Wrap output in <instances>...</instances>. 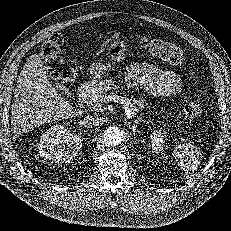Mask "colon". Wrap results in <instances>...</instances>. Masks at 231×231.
Wrapping results in <instances>:
<instances>
[{"instance_id":"colon-1","label":"colon","mask_w":231,"mask_h":231,"mask_svg":"<svg viewBox=\"0 0 231 231\" xmlns=\"http://www.w3.org/2000/svg\"><path fill=\"white\" fill-rule=\"evenodd\" d=\"M64 37L55 33L42 47V56L50 75L55 79L69 81L76 74L75 63L63 53ZM138 46L159 56L173 65L185 62V52L179 46L156 38H141ZM183 111L189 118H197L201 114V105L197 99H189L183 103Z\"/></svg>"}]
</instances>
